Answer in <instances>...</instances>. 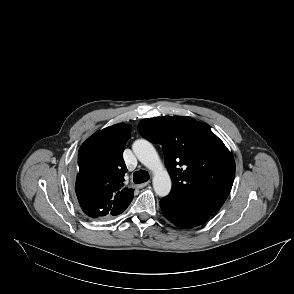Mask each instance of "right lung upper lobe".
<instances>
[{
  "instance_id": "right-lung-upper-lobe-1",
  "label": "right lung upper lobe",
  "mask_w": 294,
  "mask_h": 294,
  "mask_svg": "<svg viewBox=\"0 0 294 294\" xmlns=\"http://www.w3.org/2000/svg\"><path fill=\"white\" fill-rule=\"evenodd\" d=\"M130 132L129 124L119 123L94 133L79 149L75 191L82 210L92 218L119 215L133 199V190L122 183Z\"/></svg>"
}]
</instances>
